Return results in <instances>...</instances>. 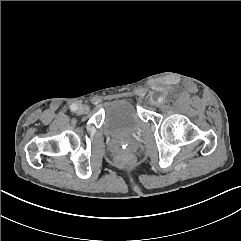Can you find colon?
<instances>
[{"label":"colon","instance_id":"obj_1","mask_svg":"<svg viewBox=\"0 0 241 241\" xmlns=\"http://www.w3.org/2000/svg\"><path fill=\"white\" fill-rule=\"evenodd\" d=\"M119 162L122 164H128L131 162V159L127 156H122L119 158Z\"/></svg>","mask_w":241,"mask_h":241}]
</instances>
